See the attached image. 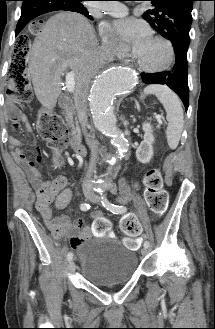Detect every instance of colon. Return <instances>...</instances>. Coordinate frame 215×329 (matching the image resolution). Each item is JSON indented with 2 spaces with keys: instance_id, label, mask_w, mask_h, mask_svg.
I'll use <instances>...</instances> for the list:
<instances>
[{
  "instance_id": "5ec220e1",
  "label": "colon",
  "mask_w": 215,
  "mask_h": 329,
  "mask_svg": "<svg viewBox=\"0 0 215 329\" xmlns=\"http://www.w3.org/2000/svg\"><path fill=\"white\" fill-rule=\"evenodd\" d=\"M43 19H36L35 25L31 26L32 32H41L42 26L46 25V16ZM15 47L11 58V67L9 71L8 93L9 102H6V109H23L31 99L29 83L25 75L26 55L29 45L33 44V37L21 35L15 39ZM38 130L40 135L48 141L50 146L57 151L62 150L68 143V134L63 119L54 112L43 111L39 114ZM63 162L60 155L55 157V163L61 165ZM145 199L149 208L153 211L154 217H168L166 210L168 196L163 189L162 176L157 168L149 169L144 178ZM55 195L50 192L43 195L44 203L53 200ZM97 220H106L100 218ZM121 229L126 235L125 244L130 248L138 246V235L141 232V226L137 218L133 215L125 217L121 222ZM54 232L59 233L56 227Z\"/></svg>"
}]
</instances>
